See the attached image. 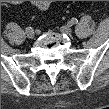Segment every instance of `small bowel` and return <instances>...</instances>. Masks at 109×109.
<instances>
[{
	"instance_id": "1",
	"label": "small bowel",
	"mask_w": 109,
	"mask_h": 109,
	"mask_svg": "<svg viewBox=\"0 0 109 109\" xmlns=\"http://www.w3.org/2000/svg\"><path fill=\"white\" fill-rule=\"evenodd\" d=\"M34 5L40 10H46L50 7V1H34Z\"/></svg>"
}]
</instances>
